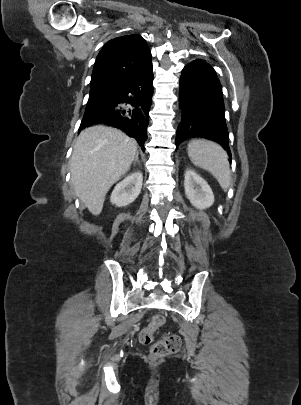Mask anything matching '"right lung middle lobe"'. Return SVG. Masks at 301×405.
<instances>
[{"label":"right lung middle lobe","mask_w":301,"mask_h":405,"mask_svg":"<svg viewBox=\"0 0 301 405\" xmlns=\"http://www.w3.org/2000/svg\"><path fill=\"white\" fill-rule=\"evenodd\" d=\"M113 94L114 92L109 91L90 92L86 108H90L105 102L107 99L111 98Z\"/></svg>","instance_id":"obj_1"}]
</instances>
